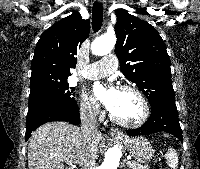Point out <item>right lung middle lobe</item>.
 Returning <instances> with one entry per match:
<instances>
[{"instance_id":"1","label":"right lung middle lobe","mask_w":200,"mask_h":169,"mask_svg":"<svg viewBox=\"0 0 200 169\" xmlns=\"http://www.w3.org/2000/svg\"><path fill=\"white\" fill-rule=\"evenodd\" d=\"M73 95L74 88L67 80L40 83L31 87L29 110L40 107L73 108L77 105Z\"/></svg>"}]
</instances>
